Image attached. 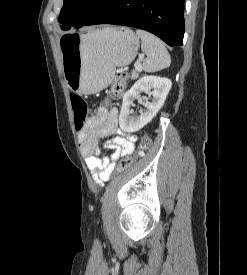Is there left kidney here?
Wrapping results in <instances>:
<instances>
[{"mask_svg":"<svg viewBox=\"0 0 247 275\" xmlns=\"http://www.w3.org/2000/svg\"><path fill=\"white\" fill-rule=\"evenodd\" d=\"M172 82L165 77L147 75L141 77L123 96L122 108L119 115L120 128L125 132H136L147 125L163 106L166 96L171 89ZM153 89V91H151ZM144 91L153 96L152 101H143L145 110L140 115H131L134 100Z\"/></svg>","mask_w":247,"mask_h":275,"instance_id":"left-kidney-1","label":"left kidney"}]
</instances>
